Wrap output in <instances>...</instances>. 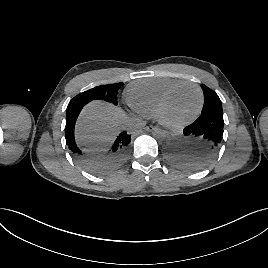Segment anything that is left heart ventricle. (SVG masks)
<instances>
[{"label":"left heart ventricle","mask_w":268,"mask_h":268,"mask_svg":"<svg viewBox=\"0 0 268 268\" xmlns=\"http://www.w3.org/2000/svg\"><path fill=\"white\" fill-rule=\"evenodd\" d=\"M199 104L198 91L192 86L179 89L168 101L163 117L170 122H179L190 117Z\"/></svg>","instance_id":"left-heart-ventricle-1"}]
</instances>
